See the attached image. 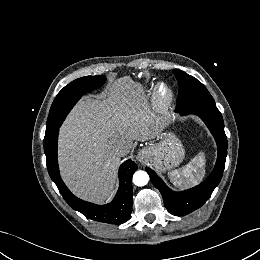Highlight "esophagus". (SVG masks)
Masks as SVG:
<instances>
[{"instance_id": "1", "label": "esophagus", "mask_w": 260, "mask_h": 260, "mask_svg": "<svg viewBox=\"0 0 260 260\" xmlns=\"http://www.w3.org/2000/svg\"><path fill=\"white\" fill-rule=\"evenodd\" d=\"M145 155H146V153H145L144 151H140V152L137 154V156H136L137 161H138V162H142L143 159L145 158Z\"/></svg>"}]
</instances>
